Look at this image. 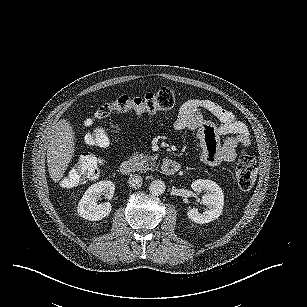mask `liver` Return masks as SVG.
Instances as JSON below:
<instances>
[{
    "mask_svg": "<svg viewBox=\"0 0 307 307\" xmlns=\"http://www.w3.org/2000/svg\"><path fill=\"white\" fill-rule=\"evenodd\" d=\"M73 150L72 128L66 120H60L52 130L46 154L49 175L54 181L63 176Z\"/></svg>",
    "mask_w": 307,
    "mask_h": 307,
    "instance_id": "obj_1",
    "label": "liver"
}]
</instances>
